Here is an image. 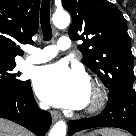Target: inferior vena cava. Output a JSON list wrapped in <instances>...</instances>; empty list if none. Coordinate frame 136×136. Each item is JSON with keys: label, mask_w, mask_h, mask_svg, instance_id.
<instances>
[{"label": "inferior vena cava", "mask_w": 136, "mask_h": 136, "mask_svg": "<svg viewBox=\"0 0 136 136\" xmlns=\"http://www.w3.org/2000/svg\"><path fill=\"white\" fill-rule=\"evenodd\" d=\"M40 107H41L42 109H47V106H46V105H40Z\"/></svg>", "instance_id": "1"}]
</instances>
